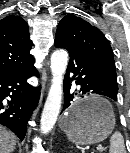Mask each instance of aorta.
Wrapping results in <instances>:
<instances>
[{
  "label": "aorta",
  "mask_w": 130,
  "mask_h": 153,
  "mask_svg": "<svg viewBox=\"0 0 130 153\" xmlns=\"http://www.w3.org/2000/svg\"><path fill=\"white\" fill-rule=\"evenodd\" d=\"M68 64V54L65 50H56L51 55L50 68L52 72V84L41 115L40 131L49 133L54 127L60 112L62 100L63 77Z\"/></svg>",
  "instance_id": "aorta-1"
}]
</instances>
